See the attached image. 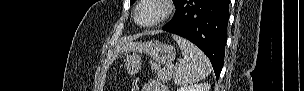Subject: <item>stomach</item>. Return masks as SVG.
<instances>
[{
    "instance_id": "obj_1",
    "label": "stomach",
    "mask_w": 304,
    "mask_h": 91,
    "mask_svg": "<svg viewBox=\"0 0 304 91\" xmlns=\"http://www.w3.org/2000/svg\"><path fill=\"white\" fill-rule=\"evenodd\" d=\"M142 52L147 53L157 64L171 63L176 56L175 49L161 42H149ZM140 52L133 51L126 54L125 67L129 74L137 73L141 68Z\"/></svg>"
}]
</instances>
